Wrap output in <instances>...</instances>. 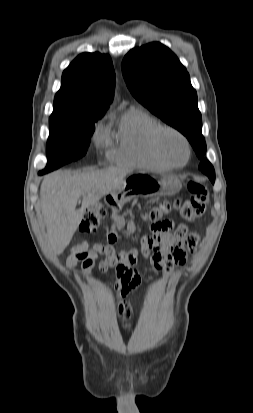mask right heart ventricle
I'll return each mask as SVG.
<instances>
[{"mask_svg":"<svg viewBox=\"0 0 253 413\" xmlns=\"http://www.w3.org/2000/svg\"><path fill=\"white\" fill-rule=\"evenodd\" d=\"M158 126L146 111L135 107L126 110L118 121L116 140L109 150L110 159L120 165L169 169L152 147V134Z\"/></svg>","mask_w":253,"mask_h":413,"instance_id":"e07e8e85","label":"right heart ventricle"}]
</instances>
